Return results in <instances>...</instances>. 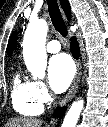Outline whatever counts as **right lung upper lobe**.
<instances>
[{
	"instance_id": "right-lung-upper-lobe-1",
	"label": "right lung upper lobe",
	"mask_w": 108,
	"mask_h": 127,
	"mask_svg": "<svg viewBox=\"0 0 108 127\" xmlns=\"http://www.w3.org/2000/svg\"><path fill=\"white\" fill-rule=\"evenodd\" d=\"M61 2V5L67 15V18L70 19L71 17V14H70V5H69V2L67 0H60ZM16 32H13V34L11 35V38H10V41H9V44L7 46V54L10 56L12 54V51L16 45Z\"/></svg>"
}]
</instances>
